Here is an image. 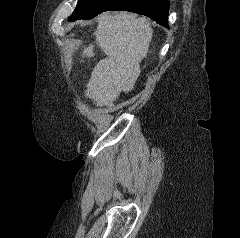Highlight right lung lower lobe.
Here are the masks:
<instances>
[{"label": "right lung lower lobe", "mask_w": 240, "mask_h": 238, "mask_svg": "<svg viewBox=\"0 0 240 238\" xmlns=\"http://www.w3.org/2000/svg\"><path fill=\"white\" fill-rule=\"evenodd\" d=\"M109 10H124L145 15L168 27L169 0H119Z\"/></svg>", "instance_id": "right-lung-lower-lobe-1"}]
</instances>
